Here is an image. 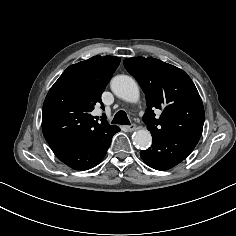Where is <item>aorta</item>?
Returning a JSON list of instances; mask_svg holds the SVG:
<instances>
[{
  "instance_id": "obj_1",
  "label": "aorta",
  "mask_w": 236,
  "mask_h": 236,
  "mask_svg": "<svg viewBox=\"0 0 236 236\" xmlns=\"http://www.w3.org/2000/svg\"><path fill=\"white\" fill-rule=\"evenodd\" d=\"M111 90L124 101L135 103L139 100V88L136 81L127 75H118L111 81ZM135 145L141 149L148 148L152 143V136L147 129H140L133 133Z\"/></svg>"
}]
</instances>
